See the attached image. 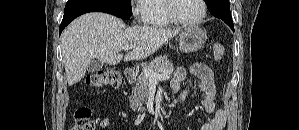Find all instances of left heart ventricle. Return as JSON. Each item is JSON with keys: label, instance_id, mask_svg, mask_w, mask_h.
<instances>
[{"label": "left heart ventricle", "instance_id": "b2bd125f", "mask_svg": "<svg viewBox=\"0 0 299 130\" xmlns=\"http://www.w3.org/2000/svg\"><path fill=\"white\" fill-rule=\"evenodd\" d=\"M173 5L174 12L182 20H194L201 13V6L198 0H175Z\"/></svg>", "mask_w": 299, "mask_h": 130}]
</instances>
